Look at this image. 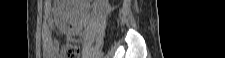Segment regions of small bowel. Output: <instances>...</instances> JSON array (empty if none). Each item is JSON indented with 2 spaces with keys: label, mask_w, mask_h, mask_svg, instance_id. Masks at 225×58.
Returning a JSON list of instances; mask_svg holds the SVG:
<instances>
[{
  "label": "small bowel",
  "mask_w": 225,
  "mask_h": 58,
  "mask_svg": "<svg viewBox=\"0 0 225 58\" xmlns=\"http://www.w3.org/2000/svg\"><path fill=\"white\" fill-rule=\"evenodd\" d=\"M51 11V4H47L45 6V13H46V20L45 25L43 28V51L49 58L57 57L60 44L59 42L53 37V28H54V20L49 17V13ZM62 32H68L66 29H61ZM75 31L68 32V41L74 42V35ZM62 57V56H61Z\"/></svg>",
  "instance_id": "1"
}]
</instances>
